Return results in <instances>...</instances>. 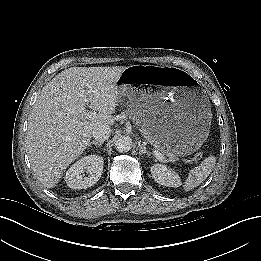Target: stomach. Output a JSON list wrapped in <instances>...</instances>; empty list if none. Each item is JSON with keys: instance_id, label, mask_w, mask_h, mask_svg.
I'll return each mask as SVG.
<instances>
[{"instance_id": "obj_1", "label": "stomach", "mask_w": 261, "mask_h": 261, "mask_svg": "<svg viewBox=\"0 0 261 261\" xmlns=\"http://www.w3.org/2000/svg\"><path fill=\"white\" fill-rule=\"evenodd\" d=\"M172 78L154 91L134 87L146 75ZM118 98L126 95L137 114L142 132L154 146L175 156L190 155L206 140L211 122L209 102L197 82L173 67L133 65L118 80Z\"/></svg>"}]
</instances>
